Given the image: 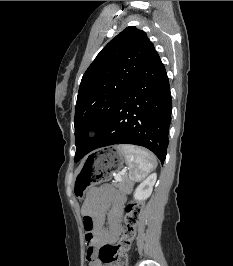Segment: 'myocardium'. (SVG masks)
I'll return each mask as SVG.
<instances>
[{"instance_id": "1", "label": "myocardium", "mask_w": 233, "mask_h": 266, "mask_svg": "<svg viewBox=\"0 0 233 266\" xmlns=\"http://www.w3.org/2000/svg\"><path fill=\"white\" fill-rule=\"evenodd\" d=\"M94 133H95V130H94V129H91V130H89L88 135H89V136H93Z\"/></svg>"}]
</instances>
